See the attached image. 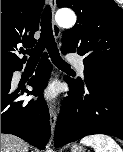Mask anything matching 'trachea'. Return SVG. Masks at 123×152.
I'll return each instance as SVG.
<instances>
[{"mask_svg": "<svg viewBox=\"0 0 123 152\" xmlns=\"http://www.w3.org/2000/svg\"><path fill=\"white\" fill-rule=\"evenodd\" d=\"M45 48H47L50 58L55 66L63 69L70 68V65L66 63L59 55V51L53 37L51 25V10L49 6L45 8L42 15L41 34L39 41L33 49L24 52L30 56L28 64H37Z\"/></svg>", "mask_w": 123, "mask_h": 152, "instance_id": "3493384b", "label": "trachea"}]
</instances>
